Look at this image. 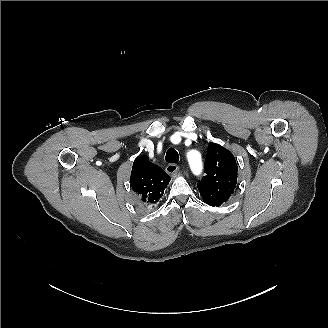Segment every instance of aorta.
I'll return each instance as SVG.
<instances>
[{
	"mask_svg": "<svg viewBox=\"0 0 328 328\" xmlns=\"http://www.w3.org/2000/svg\"><path fill=\"white\" fill-rule=\"evenodd\" d=\"M187 158L192 172L195 175H199L202 172L203 167L200 155L195 151H190Z\"/></svg>",
	"mask_w": 328,
	"mask_h": 328,
	"instance_id": "obj_1",
	"label": "aorta"
}]
</instances>
